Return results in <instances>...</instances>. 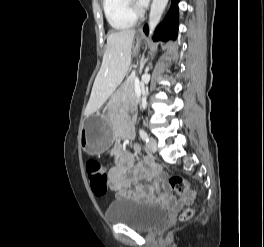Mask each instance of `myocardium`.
I'll list each match as a JSON object with an SVG mask.
<instances>
[{
    "instance_id": "1",
    "label": "myocardium",
    "mask_w": 264,
    "mask_h": 247,
    "mask_svg": "<svg viewBox=\"0 0 264 247\" xmlns=\"http://www.w3.org/2000/svg\"><path fill=\"white\" fill-rule=\"evenodd\" d=\"M128 1H129L130 10L136 17H141L144 15L145 13L144 9L138 6L135 3V0H128Z\"/></svg>"
}]
</instances>
